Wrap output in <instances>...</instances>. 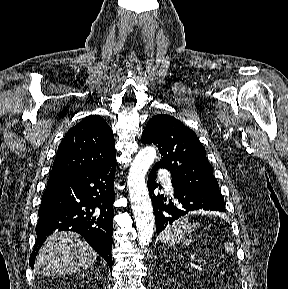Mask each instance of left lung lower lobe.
<instances>
[{
  "label": "left lung lower lobe",
  "instance_id": "1",
  "mask_svg": "<svg viewBox=\"0 0 288 289\" xmlns=\"http://www.w3.org/2000/svg\"><path fill=\"white\" fill-rule=\"evenodd\" d=\"M159 169L156 165L153 166L148 176V190L153 204L156 232L159 235L169 224L184 216L189 211L199 209L225 212L224 200L214 197L210 194L197 191L195 189L180 186L172 183L174 188L175 203L167 201L163 195H155V189L158 187L156 183V171ZM160 185V184H159Z\"/></svg>",
  "mask_w": 288,
  "mask_h": 289
}]
</instances>
